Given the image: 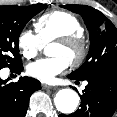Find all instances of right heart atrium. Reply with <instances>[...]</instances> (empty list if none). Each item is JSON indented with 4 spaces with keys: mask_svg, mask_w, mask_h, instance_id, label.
Instances as JSON below:
<instances>
[{
    "mask_svg": "<svg viewBox=\"0 0 117 117\" xmlns=\"http://www.w3.org/2000/svg\"><path fill=\"white\" fill-rule=\"evenodd\" d=\"M17 45L25 58H32L42 50L44 44L37 34L26 29L18 35Z\"/></svg>",
    "mask_w": 117,
    "mask_h": 117,
    "instance_id": "right-heart-atrium-1",
    "label": "right heart atrium"
}]
</instances>
